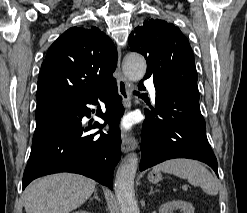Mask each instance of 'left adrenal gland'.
<instances>
[{"instance_id":"a2214340","label":"left adrenal gland","mask_w":247,"mask_h":213,"mask_svg":"<svg viewBox=\"0 0 247 213\" xmlns=\"http://www.w3.org/2000/svg\"><path fill=\"white\" fill-rule=\"evenodd\" d=\"M154 192H157V190H153V186H150V192H149V195L153 194Z\"/></svg>"}]
</instances>
